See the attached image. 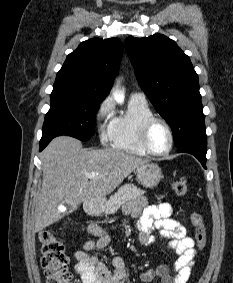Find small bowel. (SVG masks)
I'll return each instance as SVG.
<instances>
[{
    "label": "small bowel",
    "instance_id": "c3829d8e",
    "mask_svg": "<svg viewBox=\"0 0 233 283\" xmlns=\"http://www.w3.org/2000/svg\"><path fill=\"white\" fill-rule=\"evenodd\" d=\"M126 213L138 217V242L142 246H150L158 240H164L171 249L176 260L170 269L167 265H159L140 275L142 282H150L158 277L161 283H186L195 262L196 250L194 240L186 236L185 227L173 216L169 203L149 205L140 197L127 205ZM156 231L155 234L152 232ZM88 232L95 239L84 243L81 250L74 253L75 271L82 283H126V269L121 257H113L114 271L110 272L106 265L92 256L94 249H103L110 242L109 234L99 225L92 224Z\"/></svg>",
    "mask_w": 233,
    "mask_h": 283
}]
</instances>
